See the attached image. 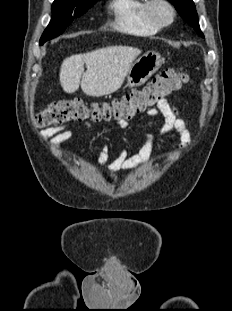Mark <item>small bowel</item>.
<instances>
[{
  "mask_svg": "<svg viewBox=\"0 0 232 311\" xmlns=\"http://www.w3.org/2000/svg\"><path fill=\"white\" fill-rule=\"evenodd\" d=\"M147 113L148 115L161 120V134L176 132L178 138L182 142H186L188 140V123L179 117L178 110L168 100H161L158 102L156 107L150 108ZM116 124L120 129H126L128 127V123L125 120H118ZM84 126L86 128H90L89 123H84ZM68 127L69 125L48 128L42 132L41 136L44 140L49 141L55 152H61L62 144L74 136V132ZM153 141V135L145 133V143L137 154L130 156L128 154V150L123 148L111 163H108V147L104 146L98 156L97 165L99 167L107 166L108 170L112 173V180L117 182L118 176L115 174L117 171L133 168L145 163L148 160Z\"/></svg>",
  "mask_w": 232,
  "mask_h": 311,
  "instance_id": "c3829d8e",
  "label": "small bowel"
}]
</instances>
